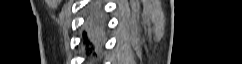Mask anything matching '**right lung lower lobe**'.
<instances>
[{
    "label": "right lung lower lobe",
    "instance_id": "right-lung-lower-lobe-1",
    "mask_svg": "<svg viewBox=\"0 0 242 64\" xmlns=\"http://www.w3.org/2000/svg\"><path fill=\"white\" fill-rule=\"evenodd\" d=\"M104 17L100 7L93 6L91 15L85 25L84 47L86 54L92 53V49L100 46L103 40Z\"/></svg>",
    "mask_w": 242,
    "mask_h": 64
}]
</instances>
